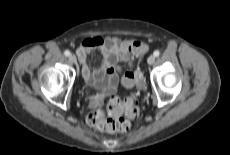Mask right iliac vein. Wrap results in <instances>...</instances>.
Listing matches in <instances>:
<instances>
[{"instance_id":"right-iliac-vein-1","label":"right iliac vein","mask_w":230,"mask_h":155,"mask_svg":"<svg viewBox=\"0 0 230 155\" xmlns=\"http://www.w3.org/2000/svg\"><path fill=\"white\" fill-rule=\"evenodd\" d=\"M68 60L72 64H75L77 62V59H76L75 55H73V54L69 55Z\"/></svg>"}]
</instances>
